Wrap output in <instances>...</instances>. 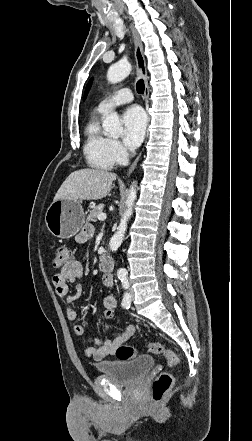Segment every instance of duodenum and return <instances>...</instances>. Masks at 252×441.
I'll use <instances>...</instances> for the list:
<instances>
[{
	"label": "duodenum",
	"instance_id": "1",
	"mask_svg": "<svg viewBox=\"0 0 252 441\" xmlns=\"http://www.w3.org/2000/svg\"><path fill=\"white\" fill-rule=\"evenodd\" d=\"M99 266L106 274H110L111 270L113 269L114 263L109 255L103 253L99 256Z\"/></svg>",
	"mask_w": 252,
	"mask_h": 441
}]
</instances>
